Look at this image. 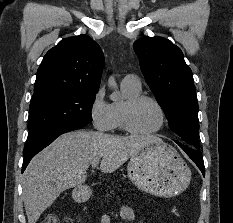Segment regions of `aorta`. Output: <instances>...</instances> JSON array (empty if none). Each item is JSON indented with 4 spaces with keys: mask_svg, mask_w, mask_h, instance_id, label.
Here are the masks:
<instances>
[{
    "mask_svg": "<svg viewBox=\"0 0 233 223\" xmlns=\"http://www.w3.org/2000/svg\"><path fill=\"white\" fill-rule=\"evenodd\" d=\"M108 86L109 88H111V90H114L111 96V100H113V102H121L120 92H118V86L116 84L114 76H110L108 80Z\"/></svg>",
    "mask_w": 233,
    "mask_h": 223,
    "instance_id": "aorta-1",
    "label": "aorta"
}]
</instances>
